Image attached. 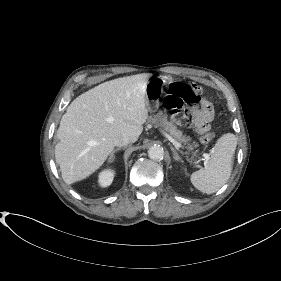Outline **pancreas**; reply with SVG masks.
I'll return each mask as SVG.
<instances>
[{"mask_svg": "<svg viewBox=\"0 0 281 281\" xmlns=\"http://www.w3.org/2000/svg\"><path fill=\"white\" fill-rule=\"evenodd\" d=\"M148 122L151 125L159 127L161 130L169 133V135L172 136L175 140L186 145L189 150H192L193 147L198 146L195 143L190 144L191 138L189 136L183 135L182 131L178 130V128L176 127V125H174L172 121H168L167 115L161 111L158 112L156 115L150 116L148 118Z\"/></svg>", "mask_w": 281, "mask_h": 281, "instance_id": "obj_1", "label": "pancreas"}]
</instances>
